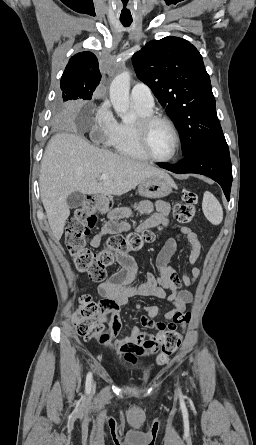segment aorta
<instances>
[{
    "mask_svg": "<svg viewBox=\"0 0 256 445\" xmlns=\"http://www.w3.org/2000/svg\"><path fill=\"white\" fill-rule=\"evenodd\" d=\"M130 80V72L124 71L117 75L110 85V101L123 122H130L135 118L134 114L129 111Z\"/></svg>",
    "mask_w": 256,
    "mask_h": 445,
    "instance_id": "aorta-1",
    "label": "aorta"
}]
</instances>
